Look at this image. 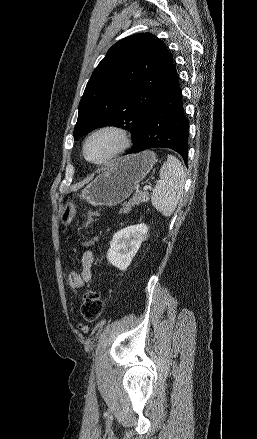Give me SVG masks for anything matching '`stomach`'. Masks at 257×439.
Wrapping results in <instances>:
<instances>
[{
	"label": "stomach",
	"mask_w": 257,
	"mask_h": 439,
	"mask_svg": "<svg viewBox=\"0 0 257 439\" xmlns=\"http://www.w3.org/2000/svg\"><path fill=\"white\" fill-rule=\"evenodd\" d=\"M156 162V155L143 151L130 155L107 168L82 191V198L92 206H115L126 200ZM76 213L72 201L62 205L61 224L67 226Z\"/></svg>",
	"instance_id": "1"
}]
</instances>
